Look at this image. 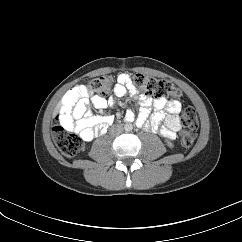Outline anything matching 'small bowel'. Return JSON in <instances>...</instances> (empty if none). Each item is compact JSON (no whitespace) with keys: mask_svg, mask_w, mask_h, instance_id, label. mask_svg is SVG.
Here are the masks:
<instances>
[{"mask_svg":"<svg viewBox=\"0 0 242 242\" xmlns=\"http://www.w3.org/2000/svg\"><path fill=\"white\" fill-rule=\"evenodd\" d=\"M127 92L132 97H137L141 105L136 120L138 125L146 123L150 108L153 106L157 111L148 122L149 129L156 131L160 123L164 122V127L160 130L161 134L168 139L175 138L176 132L180 129L178 114L182 105L179 101H167L164 98L153 99L144 94L138 95L136 87L129 81L128 77L121 74L115 85L114 93L117 97H123ZM113 103L112 99L107 100L98 95L88 97L85 89L82 86H77L63 100L60 114L61 123L69 131L80 135L83 140L89 141L113 122V117L110 115L92 114L88 109L89 104H92L96 110H103ZM125 118L129 121L133 120L135 118L134 111L127 110Z\"/></svg>","mask_w":242,"mask_h":242,"instance_id":"obj_1","label":"small bowel"}]
</instances>
